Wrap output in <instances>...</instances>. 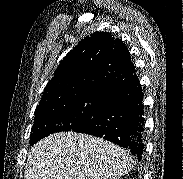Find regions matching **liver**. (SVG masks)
<instances>
[{"label": "liver", "mask_w": 183, "mask_h": 179, "mask_svg": "<svg viewBox=\"0 0 183 179\" xmlns=\"http://www.w3.org/2000/svg\"><path fill=\"white\" fill-rule=\"evenodd\" d=\"M129 153L104 139L60 132L28 153L25 179H119L133 168Z\"/></svg>", "instance_id": "1"}]
</instances>
